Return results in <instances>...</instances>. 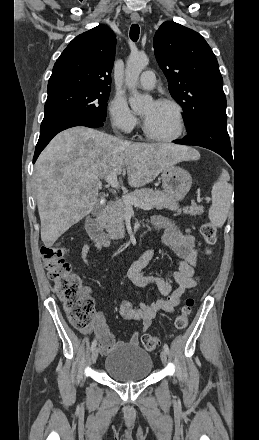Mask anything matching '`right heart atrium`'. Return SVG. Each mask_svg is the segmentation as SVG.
Listing matches in <instances>:
<instances>
[{"instance_id":"obj_1","label":"right heart atrium","mask_w":259,"mask_h":440,"mask_svg":"<svg viewBox=\"0 0 259 440\" xmlns=\"http://www.w3.org/2000/svg\"><path fill=\"white\" fill-rule=\"evenodd\" d=\"M108 114L113 129L121 133H130L139 124L138 118L121 96L111 99L108 104Z\"/></svg>"}]
</instances>
